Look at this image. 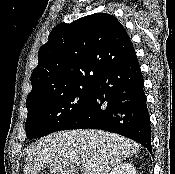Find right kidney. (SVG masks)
I'll list each match as a JSON object with an SVG mask.
<instances>
[{
    "mask_svg": "<svg viewBox=\"0 0 175 174\" xmlns=\"http://www.w3.org/2000/svg\"><path fill=\"white\" fill-rule=\"evenodd\" d=\"M110 174H136V170L131 163H119L113 168Z\"/></svg>",
    "mask_w": 175,
    "mask_h": 174,
    "instance_id": "1",
    "label": "right kidney"
}]
</instances>
